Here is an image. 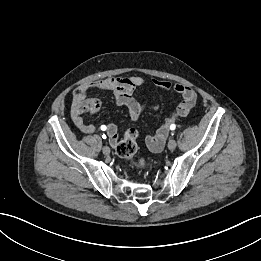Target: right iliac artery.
<instances>
[{
    "label": "right iliac artery",
    "instance_id": "82829eb1",
    "mask_svg": "<svg viewBox=\"0 0 261 261\" xmlns=\"http://www.w3.org/2000/svg\"><path fill=\"white\" fill-rule=\"evenodd\" d=\"M101 129H102V130H105V129H106V126H105V125H102V126H101ZM102 138H103V139H106L107 137H106L105 134H103V135H102Z\"/></svg>",
    "mask_w": 261,
    "mask_h": 261
}]
</instances>
